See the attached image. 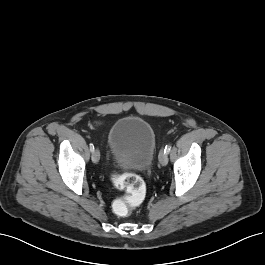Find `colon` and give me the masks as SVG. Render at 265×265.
Instances as JSON below:
<instances>
[{"label": "colon", "instance_id": "colon-1", "mask_svg": "<svg viewBox=\"0 0 265 265\" xmlns=\"http://www.w3.org/2000/svg\"><path fill=\"white\" fill-rule=\"evenodd\" d=\"M113 184L127 192V198L115 204V212L118 216H127L134 207L138 206L144 199L145 187L142 179L133 173L115 176Z\"/></svg>", "mask_w": 265, "mask_h": 265}]
</instances>
